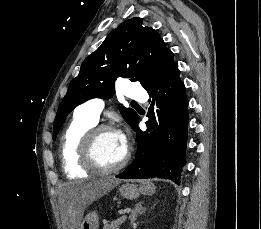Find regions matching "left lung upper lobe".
I'll return each mask as SVG.
<instances>
[{
	"instance_id": "5c2ea615",
	"label": "left lung upper lobe",
	"mask_w": 261,
	"mask_h": 229,
	"mask_svg": "<svg viewBox=\"0 0 261 229\" xmlns=\"http://www.w3.org/2000/svg\"><path fill=\"white\" fill-rule=\"evenodd\" d=\"M176 63L174 54L156 30L138 17L125 20L85 59L78 76L70 82L54 120L53 139L67 115L79 104L91 98L108 99L114 95L118 77L139 81L146 88ZM119 107L132 127L136 112Z\"/></svg>"
}]
</instances>
